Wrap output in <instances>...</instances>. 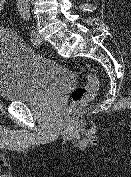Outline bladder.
Masks as SVG:
<instances>
[{
	"label": "bladder",
	"mask_w": 131,
	"mask_h": 177,
	"mask_svg": "<svg viewBox=\"0 0 131 177\" xmlns=\"http://www.w3.org/2000/svg\"><path fill=\"white\" fill-rule=\"evenodd\" d=\"M75 84L76 76L70 68L33 52L14 33L0 32L1 100H47Z\"/></svg>",
	"instance_id": "bladder-1"
}]
</instances>
